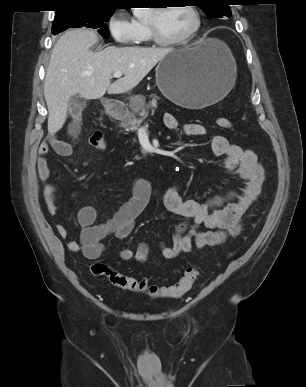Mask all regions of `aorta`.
I'll return each mask as SVG.
<instances>
[{
  "label": "aorta",
  "mask_w": 306,
  "mask_h": 387,
  "mask_svg": "<svg viewBox=\"0 0 306 387\" xmlns=\"http://www.w3.org/2000/svg\"><path fill=\"white\" fill-rule=\"evenodd\" d=\"M147 8H133L134 16L140 18L147 13Z\"/></svg>",
  "instance_id": "762f6f07"
}]
</instances>
